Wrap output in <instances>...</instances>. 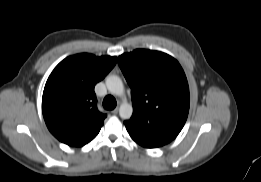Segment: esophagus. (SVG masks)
I'll return each instance as SVG.
<instances>
[{
	"label": "esophagus",
	"instance_id": "1",
	"mask_svg": "<svg viewBox=\"0 0 261 182\" xmlns=\"http://www.w3.org/2000/svg\"><path fill=\"white\" fill-rule=\"evenodd\" d=\"M112 114L116 115L118 113V108H115L111 111Z\"/></svg>",
	"mask_w": 261,
	"mask_h": 182
}]
</instances>
